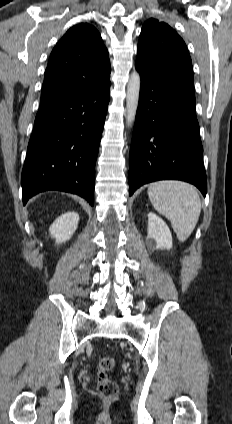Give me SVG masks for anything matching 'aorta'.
Returning <instances> with one entry per match:
<instances>
[{"instance_id":"762f6f07","label":"aorta","mask_w":232,"mask_h":424,"mask_svg":"<svg viewBox=\"0 0 232 424\" xmlns=\"http://www.w3.org/2000/svg\"><path fill=\"white\" fill-rule=\"evenodd\" d=\"M140 83V75L137 72H133L127 85L126 122L128 126H131L135 120L139 102Z\"/></svg>"}]
</instances>
